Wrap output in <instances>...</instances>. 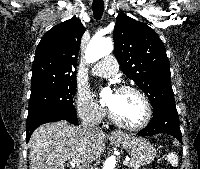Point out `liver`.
<instances>
[{"label":"liver","instance_id":"obj_1","mask_svg":"<svg viewBox=\"0 0 200 169\" xmlns=\"http://www.w3.org/2000/svg\"><path fill=\"white\" fill-rule=\"evenodd\" d=\"M102 131L85 132L66 121L39 126L29 141L30 169H65L66 162L87 164L98 159L105 149Z\"/></svg>","mask_w":200,"mask_h":169}]
</instances>
